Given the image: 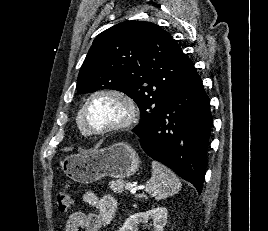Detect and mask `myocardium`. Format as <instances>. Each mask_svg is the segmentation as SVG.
<instances>
[{
	"label": "myocardium",
	"instance_id": "obj_1",
	"mask_svg": "<svg viewBox=\"0 0 268 231\" xmlns=\"http://www.w3.org/2000/svg\"><path fill=\"white\" fill-rule=\"evenodd\" d=\"M99 96L114 97L121 102V104L124 106L125 111L122 120H120L115 124L100 129L93 128L89 124L87 119L88 106L92 100H94L96 97ZM138 116H139V109L135 100L129 94L115 88H103L92 92L85 100L81 109L82 123L85 127L86 133L89 135H97V136H103L123 131L131 127L136 122Z\"/></svg>",
	"mask_w": 268,
	"mask_h": 231
}]
</instances>
